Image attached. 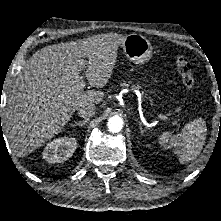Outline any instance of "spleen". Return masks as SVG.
<instances>
[{"mask_svg":"<svg viewBox=\"0 0 221 221\" xmlns=\"http://www.w3.org/2000/svg\"><path fill=\"white\" fill-rule=\"evenodd\" d=\"M207 135V127L204 119L197 118L186 124L180 134L173 135L164 132L159 138V145L165 149H174V154L181 163H187L196 159L203 149Z\"/></svg>","mask_w":221,"mask_h":221,"instance_id":"spleen-1","label":"spleen"}]
</instances>
